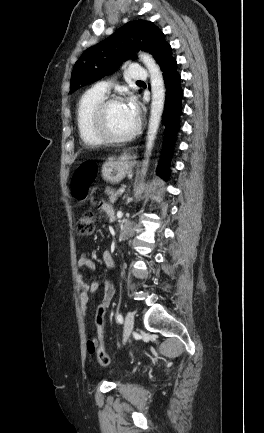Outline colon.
<instances>
[{
	"label": "colon",
	"instance_id": "colon-1",
	"mask_svg": "<svg viewBox=\"0 0 264 433\" xmlns=\"http://www.w3.org/2000/svg\"><path fill=\"white\" fill-rule=\"evenodd\" d=\"M97 173V167L94 162H85L77 167L74 171L71 186L72 193L78 200H86L89 194V189L93 181L95 180ZM95 227V217L92 212H84L77 223V232L81 236H89L92 234ZM108 306L102 300L98 305L95 313V326L97 331V338L99 341V347L97 349V358L102 366H108L110 364V358L106 354L103 339L105 330V315Z\"/></svg>",
	"mask_w": 264,
	"mask_h": 433
}]
</instances>
